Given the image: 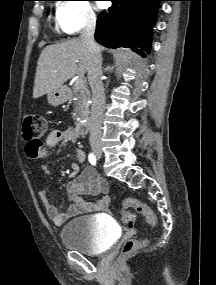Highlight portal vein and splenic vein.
<instances>
[{"label": "portal vein and splenic vein", "mask_w": 216, "mask_h": 285, "mask_svg": "<svg viewBox=\"0 0 216 285\" xmlns=\"http://www.w3.org/2000/svg\"><path fill=\"white\" fill-rule=\"evenodd\" d=\"M84 84H85V81H84L83 77H80L75 81V86H77V87H81Z\"/></svg>", "instance_id": "18ae733b"}]
</instances>
